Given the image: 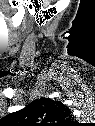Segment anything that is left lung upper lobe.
<instances>
[{"label":"left lung upper lobe","instance_id":"5c2ea615","mask_svg":"<svg viewBox=\"0 0 95 126\" xmlns=\"http://www.w3.org/2000/svg\"><path fill=\"white\" fill-rule=\"evenodd\" d=\"M16 126H71L73 114L61 101L40 98L6 116Z\"/></svg>","mask_w":95,"mask_h":126}]
</instances>
